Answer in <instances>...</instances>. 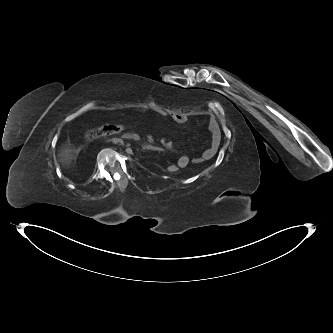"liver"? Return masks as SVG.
<instances>
[{
	"mask_svg": "<svg viewBox=\"0 0 333 333\" xmlns=\"http://www.w3.org/2000/svg\"><path fill=\"white\" fill-rule=\"evenodd\" d=\"M77 152L78 151H76L71 144H65L58 154L59 161L63 166H69L71 162L76 159Z\"/></svg>",
	"mask_w": 333,
	"mask_h": 333,
	"instance_id": "obj_1",
	"label": "liver"
}]
</instances>
